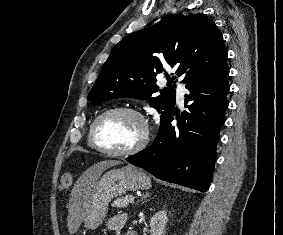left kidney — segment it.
Returning <instances> with one entry per match:
<instances>
[{
	"label": "left kidney",
	"mask_w": 283,
	"mask_h": 235,
	"mask_svg": "<svg viewBox=\"0 0 283 235\" xmlns=\"http://www.w3.org/2000/svg\"><path fill=\"white\" fill-rule=\"evenodd\" d=\"M167 212L161 210L150 219L151 235H163L167 224Z\"/></svg>",
	"instance_id": "1"
}]
</instances>
